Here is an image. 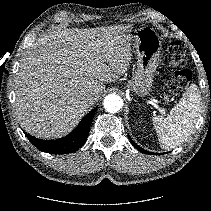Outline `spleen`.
<instances>
[{
    "instance_id": "3e777b00",
    "label": "spleen",
    "mask_w": 211,
    "mask_h": 211,
    "mask_svg": "<svg viewBox=\"0 0 211 211\" xmlns=\"http://www.w3.org/2000/svg\"><path fill=\"white\" fill-rule=\"evenodd\" d=\"M201 107V94L197 85L192 84L171 109L169 116L152 118L161 148L172 149L187 140L195 129Z\"/></svg>"
}]
</instances>
